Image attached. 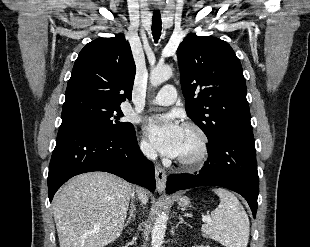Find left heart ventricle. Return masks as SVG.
<instances>
[{
    "instance_id": "1",
    "label": "left heart ventricle",
    "mask_w": 310,
    "mask_h": 247,
    "mask_svg": "<svg viewBox=\"0 0 310 247\" xmlns=\"http://www.w3.org/2000/svg\"><path fill=\"white\" fill-rule=\"evenodd\" d=\"M198 138L192 131L183 129L178 157L191 156L198 150Z\"/></svg>"
}]
</instances>
